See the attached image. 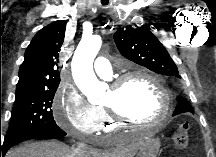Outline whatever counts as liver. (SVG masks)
Returning a JSON list of instances; mask_svg holds the SVG:
<instances>
[{
	"mask_svg": "<svg viewBox=\"0 0 216 157\" xmlns=\"http://www.w3.org/2000/svg\"><path fill=\"white\" fill-rule=\"evenodd\" d=\"M142 144L137 137L109 151L86 149L77 151L58 141L29 142L7 152L6 157H134Z\"/></svg>",
	"mask_w": 216,
	"mask_h": 157,
	"instance_id": "obj_1",
	"label": "liver"
}]
</instances>
